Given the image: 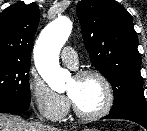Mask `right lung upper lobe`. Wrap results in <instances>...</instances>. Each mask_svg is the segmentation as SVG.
Returning <instances> with one entry per match:
<instances>
[{"instance_id":"right-lung-upper-lobe-1","label":"right lung upper lobe","mask_w":147,"mask_h":131,"mask_svg":"<svg viewBox=\"0 0 147 131\" xmlns=\"http://www.w3.org/2000/svg\"><path fill=\"white\" fill-rule=\"evenodd\" d=\"M36 3H16L0 14V60L30 63L39 24Z\"/></svg>"}]
</instances>
